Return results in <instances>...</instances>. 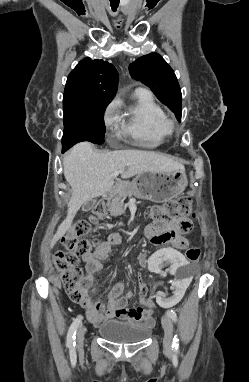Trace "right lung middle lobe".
<instances>
[{
  "instance_id": "1",
  "label": "right lung middle lobe",
  "mask_w": 249,
  "mask_h": 382,
  "mask_svg": "<svg viewBox=\"0 0 249 382\" xmlns=\"http://www.w3.org/2000/svg\"><path fill=\"white\" fill-rule=\"evenodd\" d=\"M110 101L96 100L64 109L62 149L67 150L81 141L104 142V110Z\"/></svg>"
}]
</instances>
